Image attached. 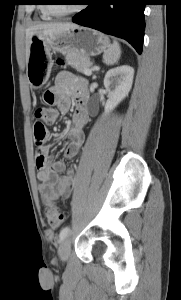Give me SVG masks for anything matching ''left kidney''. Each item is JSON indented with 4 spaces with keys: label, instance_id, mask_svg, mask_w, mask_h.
<instances>
[{
    "label": "left kidney",
    "instance_id": "1",
    "mask_svg": "<svg viewBox=\"0 0 181 300\" xmlns=\"http://www.w3.org/2000/svg\"><path fill=\"white\" fill-rule=\"evenodd\" d=\"M134 77V69L128 65H122L110 69L104 77V86L108 91V100L104 114H109L128 95Z\"/></svg>",
    "mask_w": 181,
    "mask_h": 300
}]
</instances>
